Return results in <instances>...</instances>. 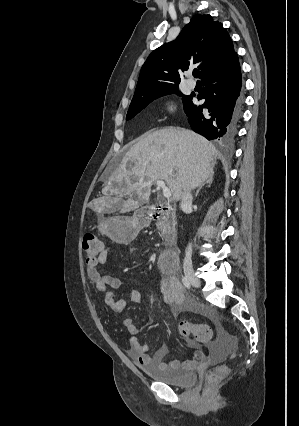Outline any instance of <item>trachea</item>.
Listing matches in <instances>:
<instances>
[{
	"label": "trachea",
	"mask_w": 299,
	"mask_h": 426,
	"mask_svg": "<svg viewBox=\"0 0 299 426\" xmlns=\"http://www.w3.org/2000/svg\"><path fill=\"white\" fill-rule=\"evenodd\" d=\"M198 74H199V71H198V70H194V71H193V76H194V77H197V76H198Z\"/></svg>",
	"instance_id": "obj_1"
}]
</instances>
